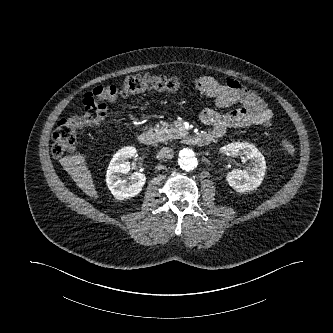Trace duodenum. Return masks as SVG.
<instances>
[{
  "label": "duodenum",
  "instance_id": "410a0bca",
  "mask_svg": "<svg viewBox=\"0 0 333 333\" xmlns=\"http://www.w3.org/2000/svg\"><path fill=\"white\" fill-rule=\"evenodd\" d=\"M154 137L155 136L152 132H142L138 137V141L142 145H151L154 142ZM212 139L213 136L205 132L190 135L187 138L190 144L200 147L207 146L211 143Z\"/></svg>",
  "mask_w": 333,
  "mask_h": 333
}]
</instances>
